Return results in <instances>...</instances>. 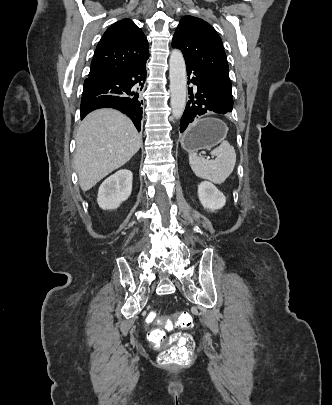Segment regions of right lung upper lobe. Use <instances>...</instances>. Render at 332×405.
I'll use <instances>...</instances> for the list:
<instances>
[{
    "mask_svg": "<svg viewBox=\"0 0 332 405\" xmlns=\"http://www.w3.org/2000/svg\"><path fill=\"white\" fill-rule=\"evenodd\" d=\"M148 57V42L143 32L130 19H123L110 26L99 41L89 76L127 70Z\"/></svg>",
    "mask_w": 332,
    "mask_h": 405,
    "instance_id": "cb5924a9",
    "label": "right lung upper lobe"
}]
</instances>
